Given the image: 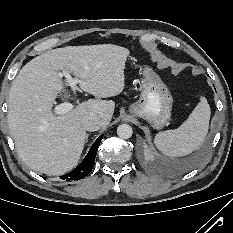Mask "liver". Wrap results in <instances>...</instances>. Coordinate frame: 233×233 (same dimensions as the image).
<instances>
[{
	"label": "liver",
	"mask_w": 233,
	"mask_h": 233,
	"mask_svg": "<svg viewBox=\"0 0 233 233\" xmlns=\"http://www.w3.org/2000/svg\"><path fill=\"white\" fill-rule=\"evenodd\" d=\"M130 53L112 44L67 46L29 61L14 79L8 99V125L22 161L32 170L64 174L78 163L87 137L82 120L93 114L106 127L112 100L89 99L55 115L52 107L63 91L61 71L80 80L81 90L98 98L120 94L125 87V62Z\"/></svg>",
	"instance_id": "obj_1"
}]
</instances>
